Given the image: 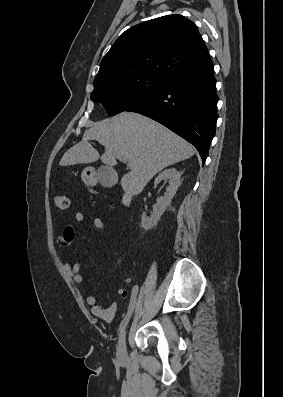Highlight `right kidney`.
I'll return each instance as SVG.
<instances>
[{
	"instance_id": "obj_1",
	"label": "right kidney",
	"mask_w": 283,
	"mask_h": 397,
	"mask_svg": "<svg viewBox=\"0 0 283 397\" xmlns=\"http://www.w3.org/2000/svg\"><path fill=\"white\" fill-rule=\"evenodd\" d=\"M168 179L169 186L166 188L164 196L157 199V203L153 208V212L150 217L142 215L141 226L144 230H149L157 225L160 217L165 212L166 208L170 205L171 200L176 194V191L180 185L181 173L175 168H168L162 171L154 181V184H159L162 180Z\"/></svg>"
}]
</instances>
